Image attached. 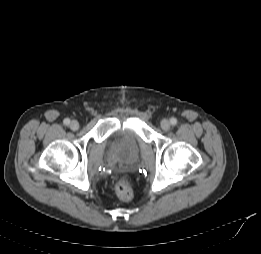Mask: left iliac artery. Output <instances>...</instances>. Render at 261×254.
Returning <instances> with one entry per match:
<instances>
[{
  "label": "left iliac artery",
  "instance_id": "obj_1",
  "mask_svg": "<svg viewBox=\"0 0 261 254\" xmlns=\"http://www.w3.org/2000/svg\"><path fill=\"white\" fill-rule=\"evenodd\" d=\"M170 123L175 126L177 124V119L176 118H171Z\"/></svg>",
  "mask_w": 261,
  "mask_h": 254
}]
</instances>
